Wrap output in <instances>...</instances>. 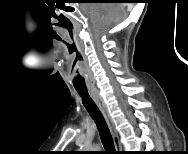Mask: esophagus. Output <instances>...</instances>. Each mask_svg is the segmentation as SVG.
<instances>
[{
  "instance_id": "obj_1",
  "label": "esophagus",
  "mask_w": 188,
  "mask_h": 154,
  "mask_svg": "<svg viewBox=\"0 0 188 154\" xmlns=\"http://www.w3.org/2000/svg\"><path fill=\"white\" fill-rule=\"evenodd\" d=\"M90 93H91V96L93 97V99L95 100V102L97 103L99 109L101 110V112L106 120V123L109 127L111 134H112V138H113V142H114L116 151L121 152L122 146H121V143L119 140V136H118L117 130L115 128L113 119L111 118V116L108 112L106 104L104 103V100L102 99V97L100 96L98 91L92 90V91H90Z\"/></svg>"
}]
</instances>
